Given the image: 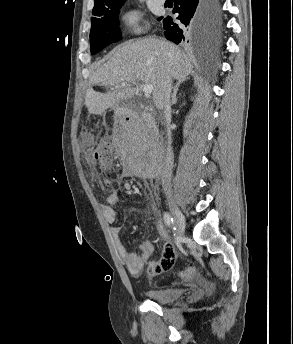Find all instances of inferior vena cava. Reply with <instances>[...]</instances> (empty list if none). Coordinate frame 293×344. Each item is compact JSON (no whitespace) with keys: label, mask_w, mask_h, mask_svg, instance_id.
Returning a JSON list of instances; mask_svg holds the SVG:
<instances>
[{"label":"inferior vena cava","mask_w":293,"mask_h":344,"mask_svg":"<svg viewBox=\"0 0 293 344\" xmlns=\"http://www.w3.org/2000/svg\"><path fill=\"white\" fill-rule=\"evenodd\" d=\"M172 91V78L171 76H167L165 82L160 90L159 93V103L161 105V109L164 113L165 123L167 126V141L165 143L166 150H165V165L161 175V182L162 187L166 195H170L171 193V175H172V167H173V152L171 147V131H170V122H171V102L170 96Z\"/></svg>","instance_id":"obj_1"}]
</instances>
